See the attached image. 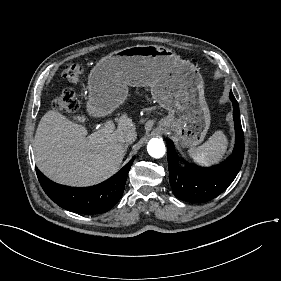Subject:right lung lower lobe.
I'll use <instances>...</instances> for the list:
<instances>
[{
	"instance_id": "right-lung-lower-lobe-1",
	"label": "right lung lower lobe",
	"mask_w": 281,
	"mask_h": 281,
	"mask_svg": "<svg viewBox=\"0 0 281 281\" xmlns=\"http://www.w3.org/2000/svg\"><path fill=\"white\" fill-rule=\"evenodd\" d=\"M132 158L107 181L86 189H69L49 182L38 170L37 176L46 194L60 207L81 214H100L110 210L121 198Z\"/></svg>"
}]
</instances>
